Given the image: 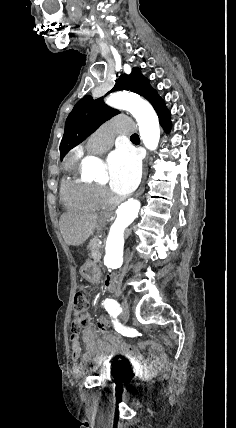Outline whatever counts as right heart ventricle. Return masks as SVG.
Segmentation results:
<instances>
[{"label":"right heart ventricle","instance_id":"obj_1","mask_svg":"<svg viewBox=\"0 0 236 428\" xmlns=\"http://www.w3.org/2000/svg\"><path fill=\"white\" fill-rule=\"evenodd\" d=\"M87 155L85 149L73 154L61 180L60 196L68 208L96 211L102 207L104 196L96 184L82 175L81 169Z\"/></svg>","mask_w":236,"mask_h":428}]
</instances>
